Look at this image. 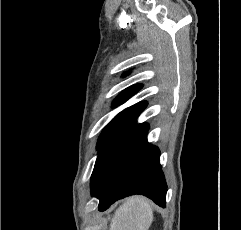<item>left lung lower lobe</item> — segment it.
I'll list each match as a JSON object with an SVG mask.
<instances>
[{"label":"left lung lower lobe","mask_w":241,"mask_h":230,"mask_svg":"<svg viewBox=\"0 0 241 230\" xmlns=\"http://www.w3.org/2000/svg\"><path fill=\"white\" fill-rule=\"evenodd\" d=\"M149 126L136 119L99 148L91 177V192L105 211L116 200L143 194L165 207L167 185L160 166V152L147 142Z\"/></svg>","instance_id":"obj_1"}]
</instances>
